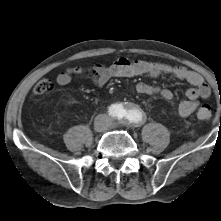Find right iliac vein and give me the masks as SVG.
<instances>
[{
	"label": "right iliac vein",
	"mask_w": 221,
	"mask_h": 221,
	"mask_svg": "<svg viewBox=\"0 0 221 221\" xmlns=\"http://www.w3.org/2000/svg\"><path fill=\"white\" fill-rule=\"evenodd\" d=\"M95 130H96L97 132H100V131L103 130V126H102L100 123H96V124H95Z\"/></svg>",
	"instance_id": "63e3f726"
}]
</instances>
